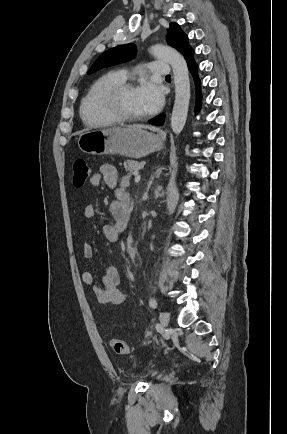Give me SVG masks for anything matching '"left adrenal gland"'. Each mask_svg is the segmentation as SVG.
Instances as JSON below:
<instances>
[{
	"mask_svg": "<svg viewBox=\"0 0 287 434\" xmlns=\"http://www.w3.org/2000/svg\"><path fill=\"white\" fill-rule=\"evenodd\" d=\"M161 171H162V168H158V169L156 170V172L154 173V175H153V177H152V180H153L154 177L158 178L159 175H160V173H161Z\"/></svg>",
	"mask_w": 287,
	"mask_h": 434,
	"instance_id": "a2214340",
	"label": "left adrenal gland"
}]
</instances>
